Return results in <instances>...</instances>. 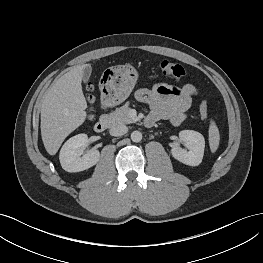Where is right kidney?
<instances>
[{
	"instance_id": "right-kidney-1",
	"label": "right kidney",
	"mask_w": 263,
	"mask_h": 263,
	"mask_svg": "<svg viewBox=\"0 0 263 263\" xmlns=\"http://www.w3.org/2000/svg\"><path fill=\"white\" fill-rule=\"evenodd\" d=\"M88 142L86 134H78L65 142L59 155L61 166L65 171L80 172L98 163L100 158L98 150L86 153L81 157Z\"/></svg>"
}]
</instances>
